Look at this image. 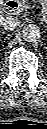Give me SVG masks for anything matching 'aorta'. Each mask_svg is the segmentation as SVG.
I'll list each match as a JSON object with an SVG mask.
<instances>
[{"instance_id":"1","label":"aorta","mask_w":47,"mask_h":129,"mask_svg":"<svg viewBox=\"0 0 47 129\" xmlns=\"http://www.w3.org/2000/svg\"><path fill=\"white\" fill-rule=\"evenodd\" d=\"M22 38L30 43L38 41L41 37L40 29L35 24H26L21 29Z\"/></svg>"}]
</instances>
